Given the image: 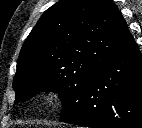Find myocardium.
Returning a JSON list of instances; mask_svg holds the SVG:
<instances>
[{
  "label": "myocardium",
  "mask_w": 142,
  "mask_h": 128,
  "mask_svg": "<svg viewBox=\"0 0 142 128\" xmlns=\"http://www.w3.org/2000/svg\"><path fill=\"white\" fill-rule=\"evenodd\" d=\"M60 93L53 88L47 89L41 95V103L44 107L52 108L59 104Z\"/></svg>",
  "instance_id": "f54148a6"
}]
</instances>
